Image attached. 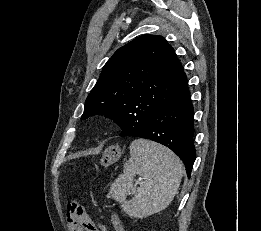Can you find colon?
Returning a JSON list of instances; mask_svg holds the SVG:
<instances>
[{
    "mask_svg": "<svg viewBox=\"0 0 261 231\" xmlns=\"http://www.w3.org/2000/svg\"><path fill=\"white\" fill-rule=\"evenodd\" d=\"M66 218L70 223L78 224L83 231H93L94 225L85 208L76 201H69L66 209ZM112 224L115 231H124L116 214L112 216Z\"/></svg>",
    "mask_w": 261,
    "mask_h": 231,
    "instance_id": "colon-1",
    "label": "colon"
}]
</instances>
